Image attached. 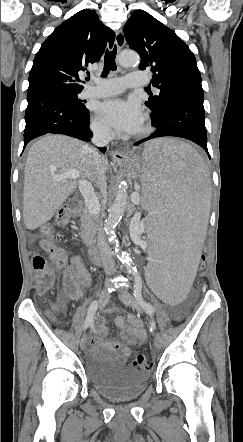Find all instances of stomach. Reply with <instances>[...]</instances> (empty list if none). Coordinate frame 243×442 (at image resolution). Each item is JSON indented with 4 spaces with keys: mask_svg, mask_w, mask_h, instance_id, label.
Wrapping results in <instances>:
<instances>
[{
    "mask_svg": "<svg viewBox=\"0 0 243 442\" xmlns=\"http://www.w3.org/2000/svg\"><path fill=\"white\" fill-rule=\"evenodd\" d=\"M122 164L127 168V171L131 177L137 178L136 176L137 166L140 164L138 156L128 155L125 157Z\"/></svg>",
    "mask_w": 243,
    "mask_h": 442,
    "instance_id": "obj_1",
    "label": "stomach"
}]
</instances>
